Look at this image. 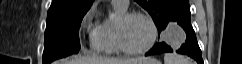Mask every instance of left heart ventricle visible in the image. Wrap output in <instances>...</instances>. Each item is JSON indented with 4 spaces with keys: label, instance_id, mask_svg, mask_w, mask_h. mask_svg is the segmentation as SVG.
Returning a JSON list of instances; mask_svg holds the SVG:
<instances>
[{
    "label": "left heart ventricle",
    "instance_id": "b2bd125f",
    "mask_svg": "<svg viewBox=\"0 0 242 64\" xmlns=\"http://www.w3.org/2000/svg\"><path fill=\"white\" fill-rule=\"evenodd\" d=\"M122 33L127 46L139 49L148 43L151 36V28L146 20L132 18L123 22Z\"/></svg>",
    "mask_w": 242,
    "mask_h": 64
}]
</instances>
